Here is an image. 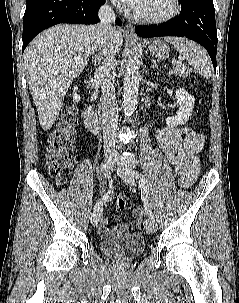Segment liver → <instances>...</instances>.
Masks as SVG:
<instances>
[{"label":"liver","mask_w":239,"mask_h":303,"mask_svg":"<svg viewBox=\"0 0 239 303\" xmlns=\"http://www.w3.org/2000/svg\"><path fill=\"white\" fill-rule=\"evenodd\" d=\"M122 43V33L114 30L111 49L119 52ZM96 46L95 26L60 24L40 33L25 49L29 89L44 131L53 126L68 88L86 67Z\"/></svg>","instance_id":"1"}]
</instances>
